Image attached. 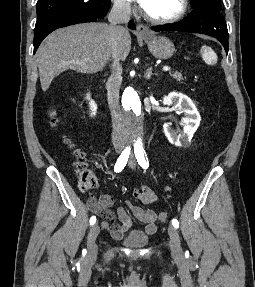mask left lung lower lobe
I'll list each match as a JSON object with an SVG mask.
<instances>
[{"label": "left lung lower lobe", "instance_id": "left-lung-lower-lobe-1", "mask_svg": "<svg viewBox=\"0 0 255 287\" xmlns=\"http://www.w3.org/2000/svg\"><path fill=\"white\" fill-rule=\"evenodd\" d=\"M154 31H185L207 34L218 39L228 52V30L225 19L220 11L208 7H199L174 24L152 27Z\"/></svg>", "mask_w": 255, "mask_h": 287}]
</instances>
